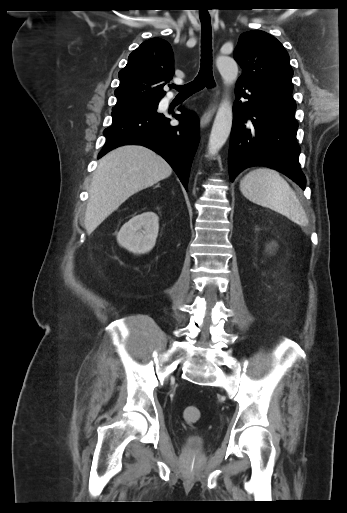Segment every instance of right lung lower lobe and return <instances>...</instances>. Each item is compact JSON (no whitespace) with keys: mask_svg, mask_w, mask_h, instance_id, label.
<instances>
[{"mask_svg":"<svg viewBox=\"0 0 347 513\" xmlns=\"http://www.w3.org/2000/svg\"><path fill=\"white\" fill-rule=\"evenodd\" d=\"M174 117L180 125L170 126V119L159 114L157 109L114 116L112 125L104 131L107 142L98 158L118 146L143 145L161 155L187 189L199 144V123L196 115L188 111Z\"/></svg>","mask_w":347,"mask_h":513,"instance_id":"98d812e1","label":"right lung lower lobe"}]
</instances>
